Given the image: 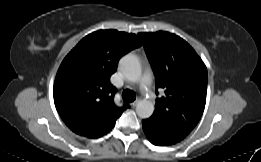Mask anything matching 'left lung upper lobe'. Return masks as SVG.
<instances>
[{
    "label": "left lung upper lobe",
    "instance_id": "5c2ea615",
    "mask_svg": "<svg viewBox=\"0 0 261 162\" xmlns=\"http://www.w3.org/2000/svg\"><path fill=\"white\" fill-rule=\"evenodd\" d=\"M153 69L157 89L165 96L156 99L150 117L189 134L199 122L206 103L207 69L194 49L179 36L158 31L139 33Z\"/></svg>",
    "mask_w": 261,
    "mask_h": 162
}]
</instances>
